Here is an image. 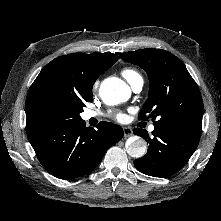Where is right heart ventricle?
<instances>
[{
	"instance_id": "1",
	"label": "right heart ventricle",
	"mask_w": 221,
	"mask_h": 221,
	"mask_svg": "<svg viewBox=\"0 0 221 221\" xmlns=\"http://www.w3.org/2000/svg\"><path fill=\"white\" fill-rule=\"evenodd\" d=\"M122 75L130 84H132L136 80L142 78L141 75L136 70L131 69V68H125L122 71Z\"/></svg>"
}]
</instances>
